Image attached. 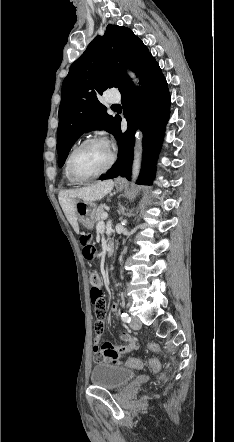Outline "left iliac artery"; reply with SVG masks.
Listing matches in <instances>:
<instances>
[{
    "label": "left iliac artery",
    "mask_w": 234,
    "mask_h": 442,
    "mask_svg": "<svg viewBox=\"0 0 234 442\" xmlns=\"http://www.w3.org/2000/svg\"><path fill=\"white\" fill-rule=\"evenodd\" d=\"M121 318L124 322H127V323H129L131 321L130 316L125 312L121 314Z\"/></svg>",
    "instance_id": "44dca946"
}]
</instances>
